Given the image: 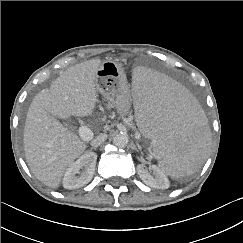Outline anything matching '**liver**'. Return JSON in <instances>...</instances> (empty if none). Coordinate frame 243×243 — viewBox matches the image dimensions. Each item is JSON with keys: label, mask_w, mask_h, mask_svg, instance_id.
Wrapping results in <instances>:
<instances>
[{"label": "liver", "mask_w": 243, "mask_h": 243, "mask_svg": "<svg viewBox=\"0 0 243 243\" xmlns=\"http://www.w3.org/2000/svg\"><path fill=\"white\" fill-rule=\"evenodd\" d=\"M102 64L92 59L70 67L35 96L26 116L24 151L34 176L50 188H58L62 176L86 144L58 118L89 116L97 98L96 73Z\"/></svg>", "instance_id": "6515ba94"}]
</instances>
